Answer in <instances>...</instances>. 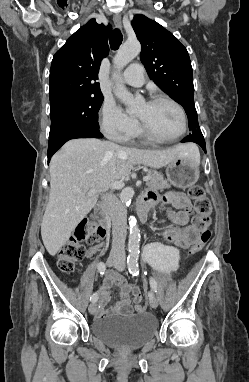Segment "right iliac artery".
<instances>
[{
	"mask_svg": "<svg viewBox=\"0 0 249 382\" xmlns=\"http://www.w3.org/2000/svg\"><path fill=\"white\" fill-rule=\"evenodd\" d=\"M105 270H106V266H105V264H104L103 262H100V263L98 264V271H99V273H100L101 275H103V274L105 273ZM90 300H91L92 302H96V301L98 300V293H97V292L93 293L92 296H91V298H90Z\"/></svg>",
	"mask_w": 249,
	"mask_h": 382,
	"instance_id": "right-iliac-artery-1",
	"label": "right iliac artery"
}]
</instances>
